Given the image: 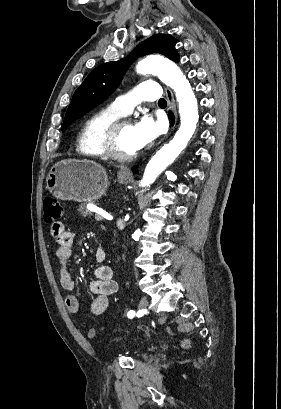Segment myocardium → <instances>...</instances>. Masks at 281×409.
<instances>
[{"label": "myocardium", "mask_w": 281, "mask_h": 409, "mask_svg": "<svg viewBox=\"0 0 281 409\" xmlns=\"http://www.w3.org/2000/svg\"><path fill=\"white\" fill-rule=\"evenodd\" d=\"M127 125H133V123L127 118H117L105 126L101 135V147L106 156L117 161H130L139 155L140 150L133 153H121L115 147L118 130Z\"/></svg>", "instance_id": "myocardium-1"}]
</instances>
